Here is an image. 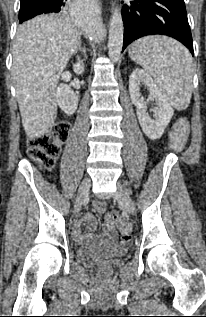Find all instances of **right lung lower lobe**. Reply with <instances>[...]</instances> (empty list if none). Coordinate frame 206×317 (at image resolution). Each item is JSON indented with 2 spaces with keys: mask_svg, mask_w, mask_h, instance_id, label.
Wrapping results in <instances>:
<instances>
[{
  "mask_svg": "<svg viewBox=\"0 0 206 317\" xmlns=\"http://www.w3.org/2000/svg\"><path fill=\"white\" fill-rule=\"evenodd\" d=\"M68 0H55L51 5L61 6V4L65 5Z\"/></svg>",
  "mask_w": 206,
  "mask_h": 317,
  "instance_id": "right-lung-lower-lobe-1",
  "label": "right lung lower lobe"
}]
</instances>
